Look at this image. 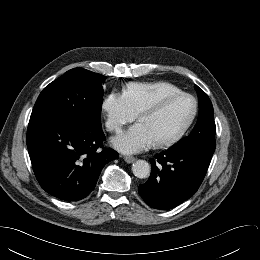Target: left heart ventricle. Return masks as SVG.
Here are the masks:
<instances>
[{
	"instance_id": "left-heart-ventricle-1",
	"label": "left heart ventricle",
	"mask_w": 260,
	"mask_h": 260,
	"mask_svg": "<svg viewBox=\"0 0 260 260\" xmlns=\"http://www.w3.org/2000/svg\"><path fill=\"white\" fill-rule=\"evenodd\" d=\"M192 101L186 97H176L167 101L161 109L142 118V123L155 141L175 134L185 124L192 111Z\"/></svg>"
}]
</instances>
